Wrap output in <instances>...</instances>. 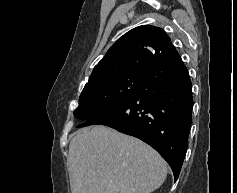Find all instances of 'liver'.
<instances>
[{
	"label": "liver",
	"instance_id": "obj_1",
	"mask_svg": "<svg viewBox=\"0 0 237 193\" xmlns=\"http://www.w3.org/2000/svg\"><path fill=\"white\" fill-rule=\"evenodd\" d=\"M67 161L72 193H151L167 176L153 148L102 125L72 138Z\"/></svg>",
	"mask_w": 237,
	"mask_h": 193
}]
</instances>
